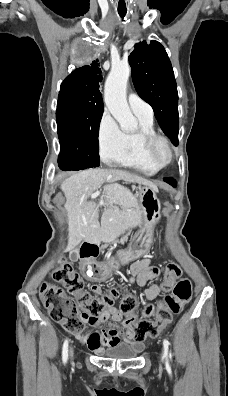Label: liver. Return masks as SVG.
<instances>
[{
	"instance_id": "1",
	"label": "liver",
	"mask_w": 228,
	"mask_h": 396,
	"mask_svg": "<svg viewBox=\"0 0 228 396\" xmlns=\"http://www.w3.org/2000/svg\"><path fill=\"white\" fill-rule=\"evenodd\" d=\"M118 180L136 182L157 189L151 181L118 169H87L71 175L61 184L65 194L68 217V243L78 245L81 241L99 243L112 238L127 219L132 225L141 224V211L136 195L118 184ZM103 190L99 205L88 201L89 196ZM104 211L99 223V207Z\"/></svg>"
}]
</instances>
